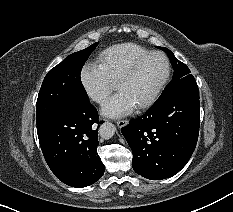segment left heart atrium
<instances>
[{
    "mask_svg": "<svg viewBox=\"0 0 233 212\" xmlns=\"http://www.w3.org/2000/svg\"><path fill=\"white\" fill-rule=\"evenodd\" d=\"M135 105L122 91L116 93L102 108V113L108 117H122L130 114Z\"/></svg>",
    "mask_w": 233,
    "mask_h": 212,
    "instance_id": "1",
    "label": "left heart atrium"
}]
</instances>
